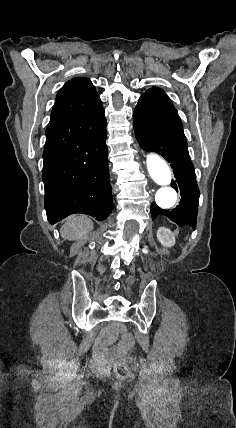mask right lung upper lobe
I'll use <instances>...</instances> for the list:
<instances>
[{"mask_svg": "<svg viewBox=\"0 0 236 428\" xmlns=\"http://www.w3.org/2000/svg\"><path fill=\"white\" fill-rule=\"evenodd\" d=\"M101 108V100L91 81L85 77L73 78L58 92L50 122L91 114Z\"/></svg>", "mask_w": 236, "mask_h": 428, "instance_id": "1", "label": "right lung upper lobe"}]
</instances>
